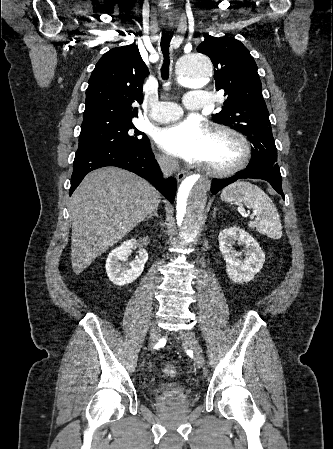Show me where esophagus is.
<instances>
[{"label": "esophagus", "instance_id": "34e87169", "mask_svg": "<svg viewBox=\"0 0 333 449\" xmlns=\"http://www.w3.org/2000/svg\"><path fill=\"white\" fill-rule=\"evenodd\" d=\"M185 178V173L184 172H179L178 174H177V180L178 181H181V180H183Z\"/></svg>", "mask_w": 333, "mask_h": 449}]
</instances>
